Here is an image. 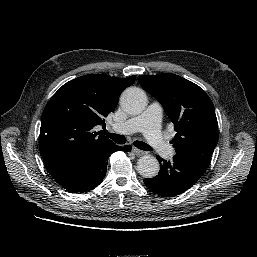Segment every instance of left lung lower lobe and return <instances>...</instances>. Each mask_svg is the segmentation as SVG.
Wrapping results in <instances>:
<instances>
[{
  "label": "left lung lower lobe",
  "instance_id": "obj_1",
  "mask_svg": "<svg viewBox=\"0 0 257 257\" xmlns=\"http://www.w3.org/2000/svg\"><path fill=\"white\" fill-rule=\"evenodd\" d=\"M157 159L160 163L158 175L144 179V183L152 192L162 197H173L188 190L206 170L190 158L179 154L170 161L159 156Z\"/></svg>",
  "mask_w": 257,
  "mask_h": 257
}]
</instances>
